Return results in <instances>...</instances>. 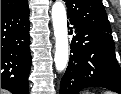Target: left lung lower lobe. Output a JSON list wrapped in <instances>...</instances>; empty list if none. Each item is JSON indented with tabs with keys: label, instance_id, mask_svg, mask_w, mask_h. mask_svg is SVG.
Listing matches in <instances>:
<instances>
[{
	"label": "left lung lower lobe",
	"instance_id": "left-lung-lower-lobe-1",
	"mask_svg": "<svg viewBox=\"0 0 121 94\" xmlns=\"http://www.w3.org/2000/svg\"><path fill=\"white\" fill-rule=\"evenodd\" d=\"M71 54L61 80L60 94H78L88 87H103L121 94V70L111 33L70 20Z\"/></svg>",
	"mask_w": 121,
	"mask_h": 94
}]
</instances>
